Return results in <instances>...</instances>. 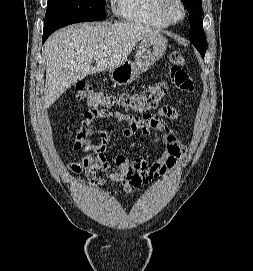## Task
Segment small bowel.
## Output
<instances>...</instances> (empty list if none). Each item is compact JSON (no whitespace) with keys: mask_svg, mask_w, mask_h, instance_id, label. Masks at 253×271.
<instances>
[{"mask_svg":"<svg viewBox=\"0 0 253 271\" xmlns=\"http://www.w3.org/2000/svg\"><path fill=\"white\" fill-rule=\"evenodd\" d=\"M104 118H111L122 124V135L128 139L136 134L149 136L159 133L164 149L163 155L148 166L142 159H129L125 154L119 153L115 157L117 171L109 173L110 163L104 154L110 144L108 134L100 131L98 142H89L96 129L95 123ZM177 118V110L170 105L161 107L155 114L147 115L143 119L122 112L98 114L87 111L73 142L74 152L82 151L83 155L79 159L71 160L69 166L75 173L84 171L90 184L94 186L104 184V179L98 177L99 173H108L110 182L120 183L124 191L131 194L146 182L166 177L182 158L185 146L180 140V135L165 123V119Z\"/></svg>","mask_w":253,"mask_h":271,"instance_id":"1","label":"small bowel"}]
</instances>
